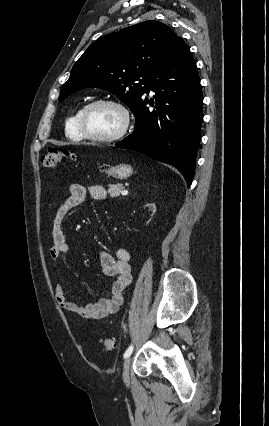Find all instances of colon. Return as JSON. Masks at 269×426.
<instances>
[{"instance_id": "5ec220e1", "label": "colon", "mask_w": 269, "mask_h": 426, "mask_svg": "<svg viewBox=\"0 0 269 426\" xmlns=\"http://www.w3.org/2000/svg\"><path fill=\"white\" fill-rule=\"evenodd\" d=\"M73 155L66 149L49 148L41 157V164L45 168L57 167L63 159H72ZM102 347L105 351L114 348V341L106 338L102 340Z\"/></svg>"}]
</instances>
